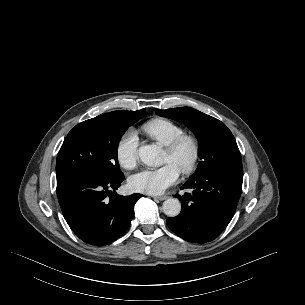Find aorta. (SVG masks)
Masks as SVG:
<instances>
[{"label": "aorta", "instance_id": "aorta-1", "mask_svg": "<svg viewBox=\"0 0 305 305\" xmlns=\"http://www.w3.org/2000/svg\"><path fill=\"white\" fill-rule=\"evenodd\" d=\"M141 161L148 166L158 167L163 164V150L158 145H143L139 148ZM163 212L169 217L177 216L181 211V203L176 198H169L163 202Z\"/></svg>", "mask_w": 305, "mask_h": 305}]
</instances>
